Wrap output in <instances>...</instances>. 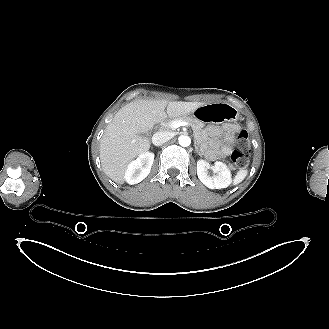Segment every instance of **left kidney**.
I'll use <instances>...</instances> for the list:
<instances>
[{
	"label": "left kidney",
	"mask_w": 329,
	"mask_h": 329,
	"mask_svg": "<svg viewBox=\"0 0 329 329\" xmlns=\"http://www.w3.org/2000/svg\"><path fill=\"white\" fill-rule=\"evenodd\" d=\"M209 165L204 160L197 161V175L199 180L210 189L228 187L232 182L231 172L223 162H215L214 176L208 175Z\"/></svg>",
	"instance_id": "5707ae66"
}]
</instances>
